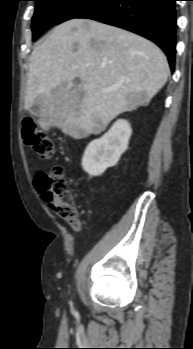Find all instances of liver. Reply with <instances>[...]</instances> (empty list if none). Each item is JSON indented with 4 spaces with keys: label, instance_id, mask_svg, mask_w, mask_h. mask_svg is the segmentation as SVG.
Returning <instances> with one entry per match:
<instances>
[{
    "label": "liver",
    "instance_id": "6515ba94",
    "mask_svg": "<svg viewBox=\"0 0 193 349\" xmlns=\"http://www.w3.org/2000/svg\"><path fill=\"white\" fill-rule=\"evenodd\" d=\"M168 76L167 58L151 41L72 19L31 53L24 108L38 103L43 130L56 127L82 139L103 132L119 114L147 106Z\"/></svg>",
    "mask_w": 193,
    "mask_h": 349
}]
</instances>
